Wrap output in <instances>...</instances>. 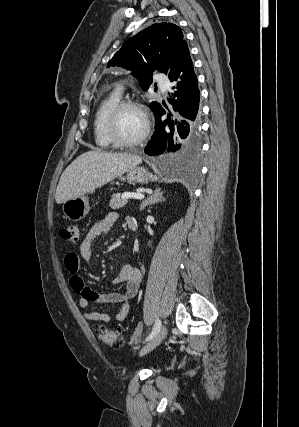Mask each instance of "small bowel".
I'll use <instances>...</instances> for the list:
<instances>
[{
    "label": "small bowel",
    "mask_w": 299,
    "mask_h": 427,
    "mask_svg": "<svg viewBox=\"0 0 299 427\" xmlns=\"http://www.w3.org/2000/svg\"><path fill=\"white\" fill-rule=\"evenodd\" d=\"M117 218V213L111 212L97 221L86 234L84 241L80 245L79 254L69 252L64 257L70 286L79 295V304L83 309H87L91 302L100 305L109 303L119 305V310L114 316L105 312L84 311L83 317L89 321L110 322L113 319L123 321L129 312L130 300L136 296L140 286L141 271L130 264L124 265L114 279L116 283L125 284V291L123 293L97 292L89 287L79 275L81 261H88L90 259L94 242L113 227Z\"/></svg>",
    "instance_id": "1"
}]
</instances>
